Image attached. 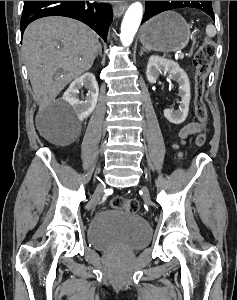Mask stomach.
Wrapping results in <instances>:
<instances>
[{
    "label": "stomach",
    "instance_id": "0dacf381",
    "mask_svg": "<svg viewBox=\"0 0 237 300\" xmlns=\"http://www.w3.org/2000/svg\"><path fill=\"white\" fill-rule=\"evenodd\" d=\"M190 37V25L174 11L150 19L140 31V41L146 49L163 53L181 51L188 45Z\"/></svg>",
    "mask_w": 237,
    "mask_h": 300
}]
</instances>
